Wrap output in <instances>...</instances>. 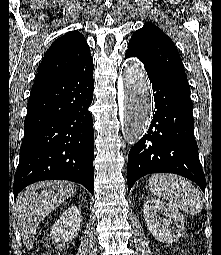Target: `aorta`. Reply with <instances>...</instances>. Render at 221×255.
<instances>
[{"instance_id":"1","label":"aorta","mask_w":221,"mask_h":255,"mask_svg":"<svg viewBox=\"0 0 221 255\" xmlns=\"http://www.w3.org/2000/svg\"><path fill=\"white\" fill-rule=\"evenodd\" d=\"M122 130L129 145H134L145 134L152 116V95L140 61L125 63L122 80L118 83Z\"/></svg>"}]
</instances>
